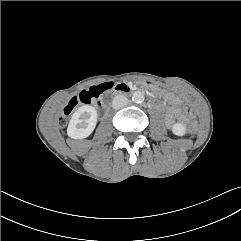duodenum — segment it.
Masks as SVG:
<instances>
[{"label": "duodenum", "instance_id": "410a0bca", "mask_svg": "<svg viewBox=\"0 0 241 241\" xmlns=\"http://www.w3.org/2000/svg\"><path fill=\"white\" fill-rule=\"evenodd\" d=\"M111 90H113L116 93L123 94V93L129 92L130 89H129V87L126 84L121 83V84H117L115 86H112Z\"/></svg>", "mask_w": 241, "mask_h": 241}]
</instances>
